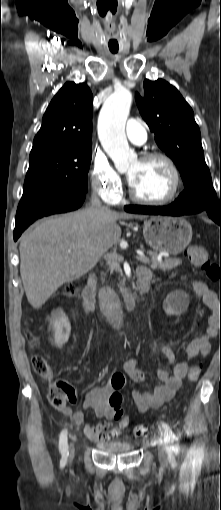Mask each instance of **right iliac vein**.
I'll use <instances>...</instances> for the list:
<instances>
[{
  "label": "right iliac vein",
  "mask_w": 221,
  "mask_h": 510,
  "mask_svg": "<svg viewBox=\"0 0 221 510\" xmlns=\"http://www.w3.org/2000/svg\"><path fill=\"white\" fill-rule=\"evenodd\" d=\"M74 453H75V451H74V447H73V444H72V445H71V449H70V456H69V459H70V460H72V459H73V457H74Z\"/></svg>",
  "instance_id": "63e3f726"
}]
</instances>
